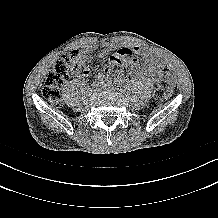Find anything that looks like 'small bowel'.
Segmentation results:
<instances>
[{
  "mask_svg": "<svg viewBox=\"0 0 218 218\" xmlns=\"http://www.w3.org/2000/svg\"><path fill=\"white\" fill-rule=\"evenodd\" d=\"M114 50L115 53L110 57V62L124 67V70H120L115 76L116 81H124L127 75L132 74L135 71L147 75L153 80L158 78L163 64L155 54L147 50H142L136 46L116 48L113 43H104L101 46H88L84 49L74 51L71 73L74 75H82L84 77L91 76L92 69L85 67L89 55L97 53L99 57L103 58ZM135 54L141 55L143 60L139 61L136 59L134 57ZM109 73L110 69L105 67L99 73V77H106Z\"/></svg>",
  "mask_w": 218,
  "mask_h": 218,
  "instance_id": "obj_1",
  "label": "small bowel"
}]
</instances>
